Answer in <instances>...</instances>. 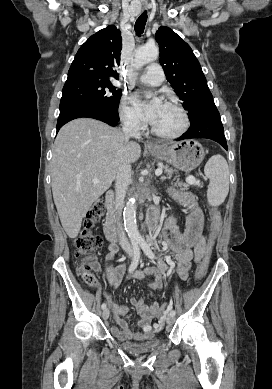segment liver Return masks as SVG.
<instances>
[{"label": "liver", "instance_id": "obj_1", "mask_svg": "<svg viewBox=\"0 0 272 389\" xmlns=\"http://www.w3.org/2000/svg\"><path fill=\"white\" fill-rule=\"evenodd\" d=\"M140 155L138 143L125 142L120 129L95 119H75L60 129L51 161V184L61 224L70 238L78 236L82 219L110 188L120 165L134 163Z\"/></svg>", "mask_w": 272, "mask_h": 389}]
</instances>
